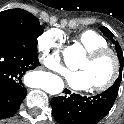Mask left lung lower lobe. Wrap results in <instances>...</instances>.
Masks as SVG:
<instances>
[{
	"mask_svg": "<svg viewBox=\"0 0 124 124\" xmlns=\"http://www.w3.org/2000/svg\"><path fill=\"white\" fill-rule=\"evenodd\" d=\"M66 95L51 100L52 115L59 124H97L112 108L118 89L111 86L95 96L71 94L65 89Z\"/></svg>",
	"mask_w": 124,
	"mask_h": 124,
	"instance_id": "0a47b994",
	"label": "left lung lower lobe"
}]
</instances>
